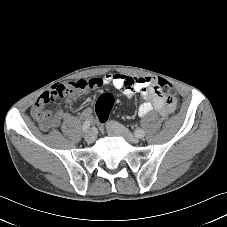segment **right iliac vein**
<instances>
[{"mask_svg":"<svg viewBox=\"0 0 227 227\" xmlns=\"http://www.w3.org/2000/svg\"><path fill=\"white\" fill-rule=\"evenodd\" d=\"M85 141L88 142V143H92L94 140H95V134L93 131L89 130L85 136Z\"/></svg>","mask_w":227,"mask_h":227,"instance_id":"63e3f726","label":"right iliac vein"}]
</instances>
